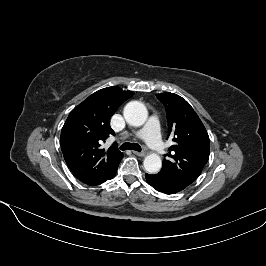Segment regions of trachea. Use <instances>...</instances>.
<instances>
[{
	"instance_id": "3493384b",
	"label": "trachea",
	"mask_w": 266,
	"mask_h": 266,
	"mask_svg": "<svg viewBox=\"0 0 266 266\" xmlns=\"http://www.w3.org/2000/svg\"><path fill=\"white\" fill-rule=\"evenodd\" d=\"M120 150H123V151L124 150H135V151L141 152V146L137 143L126 142L120 146Z\"/></svg>"
}]
</instances>
